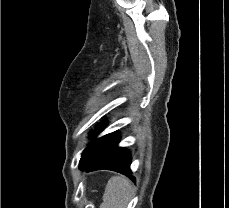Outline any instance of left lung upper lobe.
<instances>
[{"label": "left lung upper lobe", "instance_id": "left-lung-upper-lobe-1", "mask_svg": "<svg viewBox=\"0 0 229 208\" xmlns=\"http://www.w3.org/2000/svg\"><path fill=\"white\" fill-rule=\"evenodd\" d=\"M102 127H103V126H102ZM102 127L96 128L93 132H91V134L94 135L95 133L101 131V130H102Z\"/></svg>", "mask_w": 229, "mask_h": 208}]
</instances>
